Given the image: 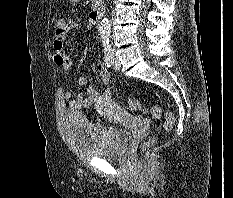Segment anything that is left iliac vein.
<instances>
[{"label":"left iliac vein","instance_id":"left-iliac-vein-1","mask_svg":"<svg viewBox=\"0 0 233 198\" xmlns=\"http://www.w3.org/2000/svg\"><path fill=\"white\" fill-rule=\"evenodd\" d=\"M112 55H113V62H112L113 67H114L115 69H119V68L121 67V63H120V61H119L117 55L115 54V51H114V50H112Z\"/></svg>","mask_w":233,"mask_h":198}]
</instances>
